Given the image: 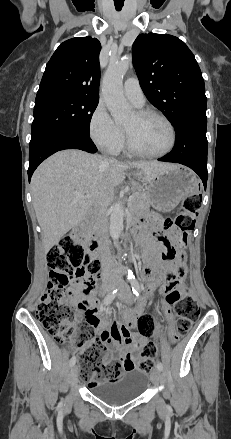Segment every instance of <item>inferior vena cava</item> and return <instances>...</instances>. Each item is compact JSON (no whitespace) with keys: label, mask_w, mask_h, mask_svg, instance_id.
<instances>
[{"label":"inferior vena cava","mask_w":231,"mask_h":439,"mask_svg":"<svg viewBox=\"0 0 231 439\" xmlns=\"http://www.w3.org/2000/svg\"><path fill=\"white\" fill-rule=\"evenodd\" d=\"M106 202L104 198H99L94 205V216L96 219V223L101 228H105L106 226V218H105V210H106ZM101 257L102 261L107 265L109 269L114 266V261L111 255V251L109 245L106 241V237L104 238L103 243L101 244ZM104 278H113L112 273L109 271L105 273Z\"/></svg>","instance_id":"1"}]
</instances>
